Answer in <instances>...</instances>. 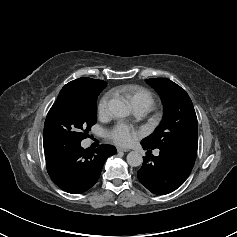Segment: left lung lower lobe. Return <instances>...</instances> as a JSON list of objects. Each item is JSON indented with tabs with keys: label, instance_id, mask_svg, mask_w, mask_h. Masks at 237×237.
I'll use <instances>...</instances> for the list:
<instances>
[{
	"label": "left lung lower lobe",
	"instance_id": "0a47b994",
	"mask_svg": "<svg viewBox=\"0 0 237 237\" xmlns=\"http://www.w3.org/2000/svg\"><path fill=\"white\" fill-rule=\"evenodd\" d=\"M142 146L148 152L138 171V179L148 190L163 195L183 184L194 166L197 150L160 149V155L154 156L151 148L143 143Z\"/></svg>",
	"mask_w": 237,
	"mask_h": 237
}]
</instances>
